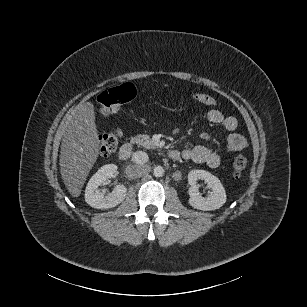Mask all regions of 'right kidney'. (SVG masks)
<instances>
[{
  "instance_id": "right-kidney-1",
  "label": "right kidney",
  "mask_w": 307,
  "mask_h": 307,
  "mask_svg": "<svg viewBox=\"0 0 307 307\" xmlns=\"http://www.w3.org/2000/svg\"><path fill=\"white\" fill-rule=\"evenodd\" d=\"M118 174L115 164L102 166L89 180L85 190V201L96 209H108L120 204L126 196L127 188L124 185H117L113 191L104 196L98 187L104 184L108 178H114Z\"/></svg>"
}]
</instances>
